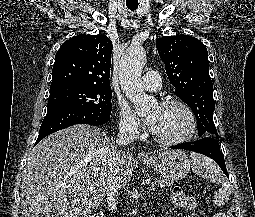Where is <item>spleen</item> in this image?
Returning <instances> with one entry per match:
<instances>
[{
    "label": "spleen",
    "instance_id": "3e777b00",
    "mask_svg": "<svg viewBox=\"0 0 255 217\" xmlns=\"http://www.w3.org/2000/svg\"><path fill=\"white\" fill-rule=\"evenodd\" d=\"M190 161L192 169L196 174L221 184L217 196L218 203L224 204L227 202L231 194V187L225 180L220 168L212 160L198 154H191Z\"/></svg>",
    "mask_w": 255,
    "mask_h": 217
}]
</instances>
